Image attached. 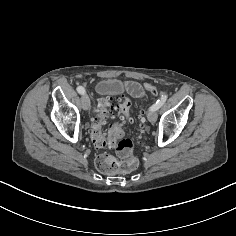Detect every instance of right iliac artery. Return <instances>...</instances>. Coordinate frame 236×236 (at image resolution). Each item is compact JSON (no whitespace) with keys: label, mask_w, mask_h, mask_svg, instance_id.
Wrapping results in <instances>:
<instances>
[{"label":"right iliac artery","mask_w":236,"mask_h":236,"mask_svg":"<svg viewBox=\"0 0 236 236\" xmlns=\"http://www.w3.org/2000/svg\"><path fill=\"white\" fill-rule=\"evenodd\" d=\"M77 91L81 95H84L86 93L85 89L82 86L77 87Z\"/></svg>","instance_id":"right-iliac-artery-1"}]
</instances>
